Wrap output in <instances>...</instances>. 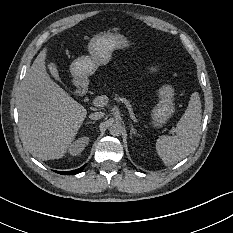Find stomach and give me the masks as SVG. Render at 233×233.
<instances>
[{"mask_svg":"<svg viewBox=\"0 0 233 233\" xmlns=\"http://www.w3.org/2000/svg\"><path fill=\"white\" fill-rule=\"evenodd\" d=\"M132 43L122 34L117 32H100L94 35L88 42L89 55L76 58L70 65V72L74 79H87L92 76L99 66L107 65L115 50H123L130 47ZM150 72H156V67H151ZM81 84L80 82H78ZM159 102L152 109L154 127L164 124L175 111L174 89L164 85L158 90Z\"/></svg>","mask_w":233,"mask_h":233,"instance_id":"0dacf381","label":"stomach"}]
</instances>
